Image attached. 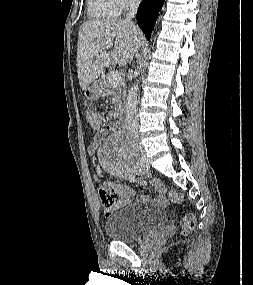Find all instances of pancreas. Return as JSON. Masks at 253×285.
Here are the masks:
<instances>
[{
	"label": "pancreas",
	"instance_id": "pancreas-1",
	"mask_svg": "<svg viewBox=\"0 0 253 285\" xmlns=\"http://www.w3.org/2000/svg\"><path fill=\"white\" fill-rule=\"evenodd\" d=\"M113 72L108 73L102 79V88L104 95H112L114 103L116 105L115 109L118 111L121 106L122 99L125 98L126 94V84L124 81H120L117 85H112L109 83Z\"/></svg>",
	"mask_w": 253,
	"mask_h": 285
}]
</instances>
